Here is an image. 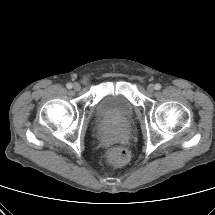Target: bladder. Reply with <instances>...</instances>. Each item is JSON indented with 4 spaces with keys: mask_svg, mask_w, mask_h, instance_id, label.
Listing matches in <instances>:
<instances>
[{
    "mask_svg": "<svg viewBox=\"0 0 215 215\" xmlns=\"http://www.w3.org/2000/svg\"><path fill=\"white\" fill-rule=\"evenodd\" d=\"M134 112L130 99L120 92L103 93L95 104V115L98 119L110 122H124Z\"/></svg>",
    "mask_w": 215,
    "mask_h": 215,
    "instance_id": "1",
    "label": "bladder"
}]
</instances>
